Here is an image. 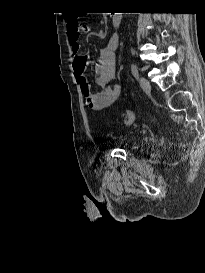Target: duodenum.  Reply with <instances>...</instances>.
<instances>
[{
    "label": "duodenum",
    "instance_id": "1",
    "mask_svg": "<svg viewBox=\"0 0 205 273\" xmlns=\"http://www.w3.org/2000/svg\"><path fill=\"white\" fill-rule=\"evenodd\" d=\"M112 23L113 25L117 26L120 23V16L116 13L112 17Z\"/></svg>",
    "mask_w": 205,
    "mask_h": 273
}]
</instances>
